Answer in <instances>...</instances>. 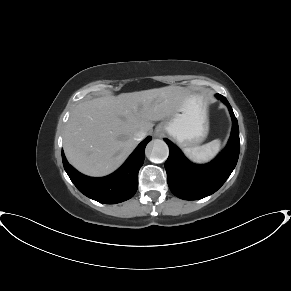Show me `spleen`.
Returning a JSON list of instances; mask_svg holds the SVG:
<instances>
[{"label": "spleen", "mask_w": 291, "mask_h": 291, "mask_svg": "<svg viewBox=\"0 0 291 291\" xmlns=\"http://www.w3.org/2000/svg\"><path fill=\"white\" fill-rule=\"evenodd\" d=\"M221 141L215 139L205 145L184 148V154L194 163L203 164L211 161L219 152Z\"/></svg>", "instance_id": "spleen-1"}]
</instances>
